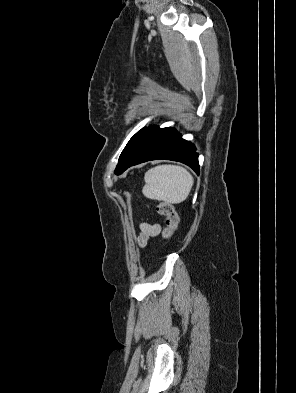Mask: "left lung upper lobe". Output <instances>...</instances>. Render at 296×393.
Instances as JSON below:
<instances>
[{"mask_svg": "<svg viewBox=\"0 0 296 393\" xmlns=\"http://www.w3.org/2000/svg\"><path fill=\"white\" fill-rule=\"evenodd\" d=\"M144 131L145 129H141L140 131H138L125 146L124 150L122 151L119 157L118 165L115 169L116 174H119L122 168L124 167L130 153L132 152L133 148L135 147L137 141L139 140L140 136L143 134Z\"/></svg>", "mask_w": 296, "mask_h": 393, "instance_id": "obj_1", "label": "left lung upper lobe"}]
</instances>
